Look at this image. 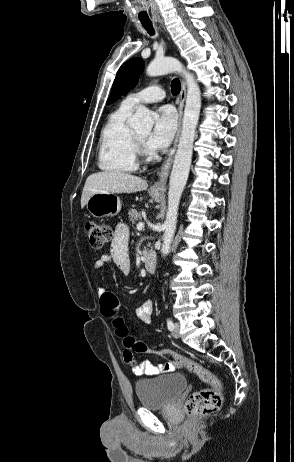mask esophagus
<instances>
[{
  "mask_svg": "<svg viewBox=\"0 0 294 462\" xmlns=\"http://www.w3.org/2000/svg\"><path fill=\"white\" fill-rule=\"evenodd\" d=\"M185 97H186V85H185V82L182 81L181 91H180L179 98H178V112H179L178 131H177V134L174 140L173 148L170 150L167 158L165 159L158 173V180L155 181L154 184L151 186L152 191H156V192L165 191V185H166L167 178H168V175L171 169L173 157H174V154L177 148L178 139H179V135L181 131V121H182Z\"/></svg>",
  "mask_w": 294,
  "mask_h": 462,
  "instance_id": "1",
  "label": "esophagus"
}]
</instances>
